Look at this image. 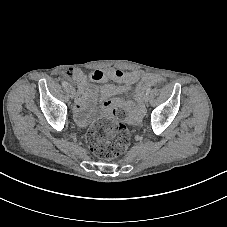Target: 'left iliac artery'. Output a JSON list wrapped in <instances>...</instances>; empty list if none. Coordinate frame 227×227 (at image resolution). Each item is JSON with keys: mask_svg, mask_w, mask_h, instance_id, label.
<instances>
[{"mask_svg": "<svg viewBox=\"0 0 227 227\" xmlns=\"http://www.w3.org/2000/svg\"><path fill=\"white\" fill-rule=\"evenodd\" d=\"M150 92H151V89H150V88H148V89L146 90V95H149V94H150Z\"/></svg>", "mask_w": 227, "mask_h": 227, "instance_id": "left-iliac-artery-1", "label": "left iliac artery"}]
</instances>
